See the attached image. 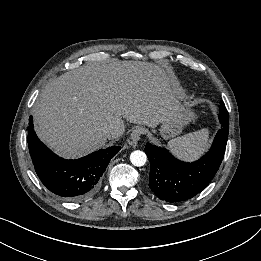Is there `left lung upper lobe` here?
I'll return each instance as SVG.
<instances>
[{
    "label": "left lung upper lobe",
    "mask_w": 261,
    "mask_h": 261,
    "mask_svg": "<svg viewBox=\"0 0 261 261\" xmlns=\"http://www.w3.org/2000/svg\"><path fill=\"white\" fill-rule=\"evenodd\" d=\"M220 110H226V108H225V105H224V103H223V102H221V105H220Z\"/></svg>",
    "instance_id": "5c2ea615"
}]
</instances>
